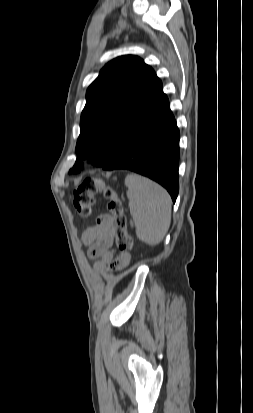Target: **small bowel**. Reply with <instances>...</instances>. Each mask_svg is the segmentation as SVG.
Returning <instances> with one entry per match:
<instances>
[{"label": "small bowel", "instance_id": "c3829d8e", "mask_svg": "<svg viewBox=\"0 0 253 413\" xmlns=\"http://www.w3.org/2000/svg\"><path fill=\"white\" fill-rule=\"evenodd\" d=\"M82 240L88 247V255L95 259L94 269L98 272L121 270L130 262V254L114 258L112 221L109 214L99 215L95 225L83 232Z\"/></svg>", "mask_w": 253, "mask_h": 413}]
</instances>
